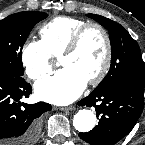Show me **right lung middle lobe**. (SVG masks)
I'll return each instance as SVG.
<instances>
[{"mask_svg": "<svg viewBox=\"0 0 145 145\" xmlns=\"http://www.w3.org/2000/svg\"><path fill=\"white\" fill-rule=\"evenodd\" d=\"M47 17L43 12H19L0 21V76L24 75L21 51L34 25Z\"/></svg>", "mask_w": 145, "mask_h": 145, "instance_id": "dd1d6c3e", "label": "right lung middle lobe"}]
</instances>
